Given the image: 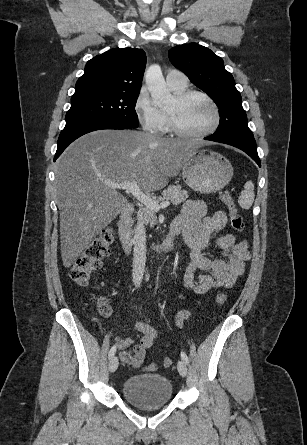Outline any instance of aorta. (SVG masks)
I'll list each match as a JSON object with an SVG mask.
<instances>
[{"label":"aorta","mask_w":307,"mask_h":445,"mask_svg":"<svg viewBox=\"0 0 307 445\" xmlns=\"http://www.w3.org/2000/svg\"><path fill=\"white\" fill-rule=\"evenodd\" d=\"M145 80L154 104H157V106H167V104L174 102V98L166 86L165 78L159 64H151V66L147 68Z\"/></svg>","instance_id":"1"}]
</instances>
